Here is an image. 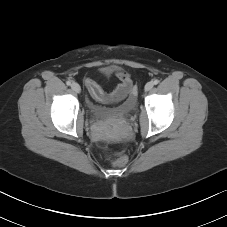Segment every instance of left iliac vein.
I'll return each instance as SVG.
<instances>
[{
	"label": "left iliac vein",
	"instance_id": "left-iliac-vein-1",
	"mask_svg": "<svg viewBox=\"0 0 227 227\" xmlns=\"http://www.w3.org/2000/svg\"><path fill=\"white\" fill-rule=\"evenodd\" d=\"M152 87H153V82H148V83L145 85V91L151 90Z\"/></svg>",
	"mask_w": 227,
	"mask_h": 227
}]
</instances>
